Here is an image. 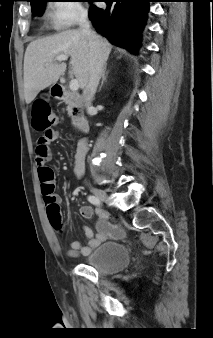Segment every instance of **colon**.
I'll return each mask as SVG.
<instances>
[{"instance_id": "obj_1", "label": "colon", "mask_w": 213, "mask_h": 338, "mask_svg": "<svg viewBox=\"0 0 213 338\" xmlns=\"http://www.w3.org/2000/svg\"><path fill=\"white\" fill-rule=\"evenodd\" d=\"M33 119L32 126L34 129L41 131L45 136H51L53 133V126L59 120L52 111L48 102L44 99H37L33 105ZM39 181L41 185V192L44 203L48 206L54 201V174L49 167L39 168ZM49 220L51 224L56 227L61 223V215L57 208L50 210Z\"/></svg>"}]
</instances>
